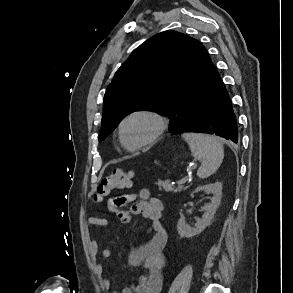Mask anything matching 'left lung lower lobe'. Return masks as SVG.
Returning <instances> with one entry per match:
<instances>
[{
    "instance_id": "obj_1",
    "label": "left lung lower lobe",
    "mask_w": 293,
    "mask_h": 293,
    "mask_svg": "<svg viewBox=\"0 0 293 293\" xmlns=\"http://www.w3.org/2000/svg\"><path fill=\"white\" fill-rule=\"evenodd\" d=\"M210 133L238 142L236 117L225 85L213 66L207 83L185 103L180 122L171 133Z\"/></svg>"
}]
</instances>
